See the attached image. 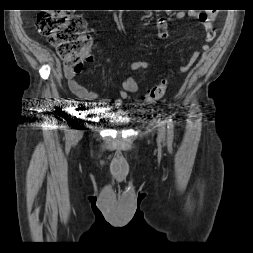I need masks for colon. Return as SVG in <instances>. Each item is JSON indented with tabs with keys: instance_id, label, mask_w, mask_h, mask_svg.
<instances>
[{
	"instance_id": "5ec220e1",
	"label": "colon",
	"mask_w": 253,
	"mask_h": 253,
	"mask_svg": "<svg viewBox=\"0 0 253 253\" xmlns=\"http://www.w3.org/2000/svg\"><path fill=\"white\" fill-rule=\"evenodd\" d=\"M39 32L48 37L65 65L74 73L82 70L83 63L90 59L92 41L85 31V21L62 11L42 12L37 18ZM169 78L162 79L140 97L143 104H151L162 98L167 90Z\"/></svg>"
}]
</instances>
